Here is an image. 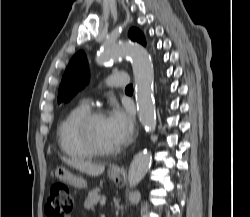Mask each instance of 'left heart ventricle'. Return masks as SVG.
Returning <instances> with one entry per match:
<instances>
[{"label": "left heart ventricle", "instance_id": "obj_1", "mask_svg": "<svg viewBox=\"0 0 250 217\" xmlns=\"http://www.w3.org/2000/svg\"><path fill=\"white\" fill-rule=\"evenodd\" d=\"M93 133L97 142L105 148L118 147L112 132L108 126L107 118L105 116L98 118L93 125Z\"/></svg>", "mask_w": 250, "mask_h": 217}]
</instances>
